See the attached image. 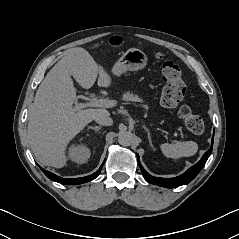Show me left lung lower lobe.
Wrapping results in <instances>:
<instances>
[{
    "mask_svg": "<svg viewBox=\"0 0 239 239\" xmlns=\"http://www.w3.org/2000/svg\"><path fill=\"white\" fill-rule=\"evenodd\" d=\"M212 148H213V138H212V145H211L210 149L207 152H205V154L202 156L201 160L197 164H195L194 166L189 168L184 174H182L178 177H175V178L153 177L143 169V167L141 166L140 163H139V166L141 168V171H142L145 179L149 183L159 185L162 187H166V188H174V187L188 184L190 181H192L197 176V174L200 172V170L205 165L207 159L209 158V156L212 152ZM138 159H139V156H138Z\"/></svg>",
    "mask_w": 239,
    "mask_h": 239,
    "instance_id": "1",
    "label": "left lung lower lobe"
}]
</instances>
